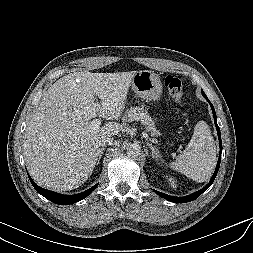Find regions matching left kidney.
I'll return each mask as SVG.
<instances>
[{
    "instance_id": "left-kidney-1",
    "label": "left kidney",
    "mask_w": 253,
    "mask_h": 253,
    "mask_svg": "<svg viewBox=\"0 0 253 253\" xmlns=\"http://www.w3.org/2000/svg\"><path fill=\"white\" fill-rule=\"evenodd\" d=\"M169 182H170V185H171L173 188H176L175 181H174L172 178H169Z\"/></svg>"
}]
</instances>
